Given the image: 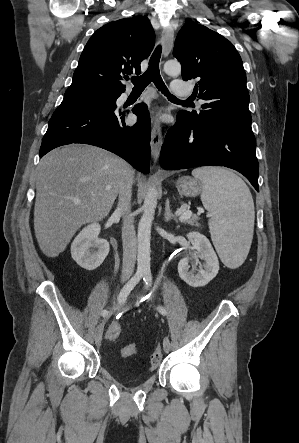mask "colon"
I'll return each instance as SVG.
<instances>
[{
    "mask_svg": "<svg viewBox=\"0 0 299 443\" xmlns=\"http://www.w3.org/2000/svg\"><path fill=\"white\" fill-rule=\"evenodd\" d=\"M121 332H122L121 325L118 322H113L108 326L105 337L108 340H116L120 337ZM136 352H137V345L135 343L127 344L121 349V354L123 357L134 356ZM162 360H163V353L161 351V348L156 347L150 357L152 368L158 367L161 364Z\"/></svg>",
    "mask_w": 299,
    "mask_h": 443,
    "instance_id": "obj_1",
    "label": "colon"
}]
</instances>
